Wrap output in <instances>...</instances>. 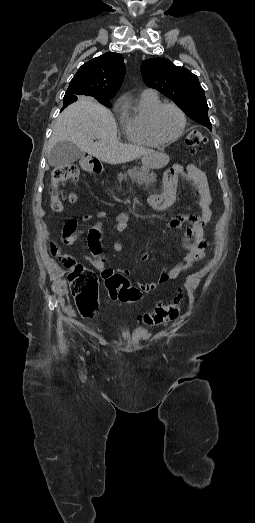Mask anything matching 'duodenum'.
Returning a JSON list of instances; mask_svg holds the SVG:
<instances>
[{
    "instance_id": "duodenum-1",
    "label": "duodenum",
    "mask_w": 255,
    "mask_h": 523,
    "mask_svg": "<svg viewBox=\"0 0 255 523\" xmlns=\"http://www.w3.org/2000/svg\"><path fill=\"white\" fill-rule=\"evenodd\" d=\"M80 164L83 170L93 174H99L102 171L101 161L91 154L84 156Z\"/></svg>"
}]
</instances>
